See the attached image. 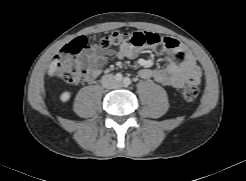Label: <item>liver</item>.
I'll return each mask as SVG.
<instances>
[{
    "instance_id": "1",
    "label": "liver",
    "mask_w": 246,
    "mask_h": 181,
    "mask_svg": "<svg viewBox=\"0 0 246 181\" xmlns=\"http://www.w3.org/2000/svg\"><path fill=\"white\" fill-rule=\"evenodd\" d=\"M57 69H58L57 61L51 63L50 67H49V70H48V75L49 76H53L56 73Z\"/></svg>"
}]
</instances>
